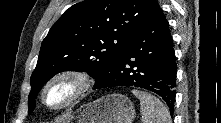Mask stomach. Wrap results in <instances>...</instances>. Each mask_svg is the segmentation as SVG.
Here are the masks:
<instances>
[{
	"mask_svg": "<svg viewBox=\"0 0 221 123\" xmlns=\"http://www.w3.org/2000/svg\"><path fill=\"white\" fill-rule=\"evenodd\" d=\"M135 107L122 94H108L80 106L68 115L66 123H132Z\"/></svg>",
	"mask_w": 221,
	"mask_h": 123,
	"instance_id": "1",
	"label": "stomach"
}]
</instances>
